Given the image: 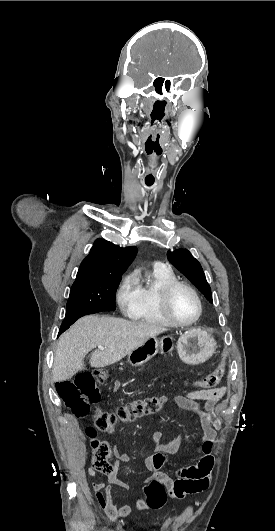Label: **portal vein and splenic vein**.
I'll return each instance as SVG.
<instances>
[{
  "instance_id": "18ae733b",
  "label": "portal vein and splenic vein",
  "mask_w": 275,
  "mask_h": 531,
  "mask_svg": "<svg viewBox=\"0 0 275 531\" xmlns=\"http://www.w3.org/2000/svg\"><path fill=\"white\" fill-rule=\"evenodd\" d=\"M98 349H100V351H104V347H101V345H99Z\"/></svg>"
}]
</instances>
